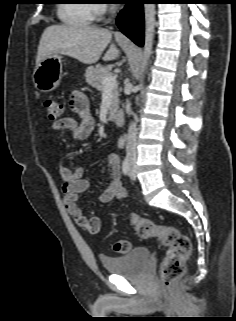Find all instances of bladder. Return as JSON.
<instances>
[{"label": "bladder", "instance_id": "bladder-1", "mask_svg": "<svg viewBox=\"0 0 236 321\" xmlns=\"http://www.w3.org/2000/svg\"><path fill=\"white\" fill-rule=\"evenodd\" d=\"M150 251L146 246H139L130 252L116 257H101L100 261L104 269L115 275L125 278H138L149 261Z\"/></svg>", "mask_w": 236, "mask_h": 321}]
</instances>
